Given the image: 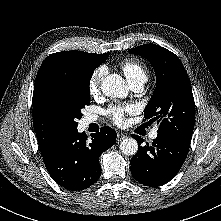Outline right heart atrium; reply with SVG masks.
I'll return each mask as SVG.
<instances>
[{"label": "right heart atrium", "instance_id": "d8ad5b80", "mask_svg": "<svg viewBox=\"0 0 221 221\" xmlns=\"http://www.w3.org/2000/svg\"><path fill=\"white\" fill-rule=\"evenodd\" d=\"M106 75V68L99 66L93 70L88 81V92L91 96H96L100 91L101 82Z\"/></svg>", "mask_w": 221, "mask_h": 221}]
</instances>
